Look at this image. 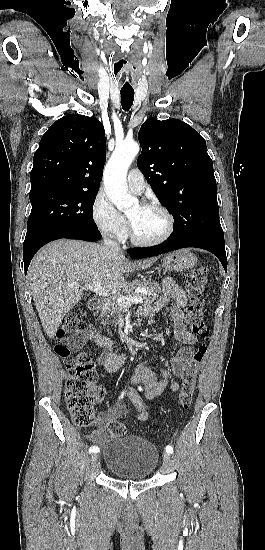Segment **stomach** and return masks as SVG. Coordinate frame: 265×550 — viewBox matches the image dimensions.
<instances>
[{
	"label": "stomach",
	"mask_w": 265,
	"mask_h": 550,
	"mask_svg": "<svg viewBox=\"0 0 265 550\" xmlns=\"http://www.w3.org/2000/svg\"><path fill=\"white\" fill-rule=\"evenodd\" d=\"M196 263V256L186 250L169 253L162 258V267L166 272L185 271L194 267Z\"/></svg>",
	"instance_id": "0dacf381"
}]
</instances>
